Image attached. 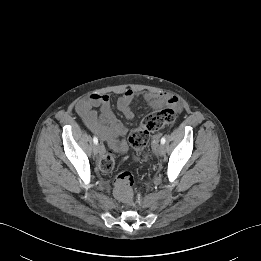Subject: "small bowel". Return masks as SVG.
I'll return each mask as SVG.
<instances>
[{"instance_id":"c3829d8e","label":"small bowel","mask_w":261,"mask_h":261,"mask_svg":"<svg viewBox=\"0 0 261 261\" xmlns=\"http://www.w3.org/2000/svg\"><path fill=\"white\" fill-rule=\"evenodd\" d=\"M136 96L133 90L127 89L117 100L118 110L127 119L133 117L132 105ZM143 98L151 109L168 106L180 111L182 107L177 96L165 92L144 93ZM96 108H100L101 113H98ZM76 110L85 125L108 144H113L116 138L127 134V128L113 113L110 97L106 94H91L81 99Z\"/></svg>"}]
</instances>
